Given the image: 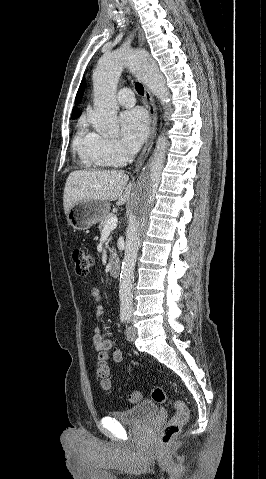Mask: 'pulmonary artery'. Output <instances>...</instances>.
<instances>
[{"instance_id": "obj_1", "label": "pulmonary artery", "mask_w": 266, "mask_h": 479, "mask_svg": "<svg viewBox=\"0 0 266 479\" xmlns=\"http://www.w3.org/2000/svg\"><path fill=\"white\" fill-rule=\"evenodd\" d=\"M118 103L125 107H132L135 104V97L132 89L122 88L117 96Z\"/></svg>"}]
</instances>
